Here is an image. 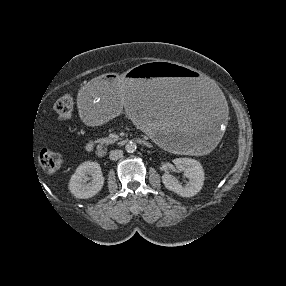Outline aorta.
I'll list each match as a JSON object with an SVG mask.
<instances>
[{"label": "aorta", "instance_id": "obj_1", "mask_svg": "<svg viewBox=\"0 0 286 286\" xmlns=\"http://www.w3.org/2000/svg\"><path fill=\"white\" fill-rule=\"evenodd\" d=\"M136 148H137V145L135 142H128L126 145H125V150L128 152V153H133L136 151Z\"/></svg>", "mask_w": 286, "mask_h": 286}]
</instances>
